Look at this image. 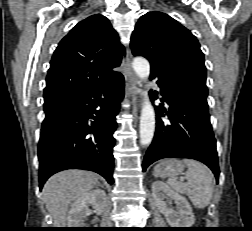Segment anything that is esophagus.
Segmentation results:
<instances>
[{
  "mask_svg": "<svg viewBox=\"0 0 252 231\" xmlns=\"http://www.w3.org/2000/svg\"><path fill=\"white\" fill-rule=\"evenodd\" d=\"M131 52L127 49L126 61L124 67L126 69V90L127 97L133 101L134 104L137 102V95L139 93L140 82L134 75L130 67Z\"/></svg>",
  "mask_w": 252,
  "mask_h": 231,
  "instance_id": "34e87169",
  "label": "esophagus"
}]
</instances>
